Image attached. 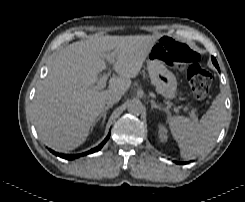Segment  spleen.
<instances>
[{"label": "spleen", "mask_w": 245, "mask_h": 202, "mask_svg": "<svg viewBox=\"0 0 245 202\" xmlns=\"http://www.w3.org/2000/svg\"><path fill=\"white\" fill-rule=\"evenodd\" d=\"M224 117V99L218 95L199 122L181 116L168 118L169 128L178 143L181 157L194 159L208 151L220 133Z\"/></svg>", "instance_id": "spleen-1"}]
</instances>
